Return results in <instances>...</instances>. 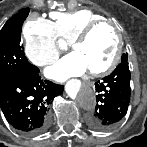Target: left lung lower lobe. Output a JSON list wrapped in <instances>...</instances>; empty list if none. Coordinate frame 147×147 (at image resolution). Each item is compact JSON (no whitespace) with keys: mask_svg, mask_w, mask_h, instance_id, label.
Listing matches in <instances>:
<instances>
[{"mask_svg":"<svg viewBox=\"0 0 147 147\" xmlns=\"http://www.w3.org/2000/svg\"><path fill=\"white\" fill-rule=\"evenodd\" d=\"M130 70L127 61H122L116 69L95 83L97 104L87 125L96 130L114 128L126 115L130 102Z\"/></svg>","mask_w":147,"mask_h":147,"instance_id":"obj_1","label":"left lung lower lobe"}]
</instances>
